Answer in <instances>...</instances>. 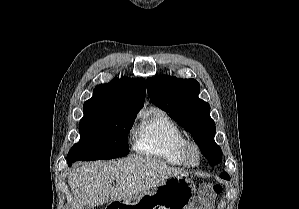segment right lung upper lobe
<instances>
[{
	"label": "right lung upper lobe",
	"mask_w": 299,
	"mask_h": 209,
	"mask_svg": "<svg viewBox=\"0 0 299 209\" xmlns=\"http://www.w3.org/2000/svg\"><path fill=\"white\" fill-rule=\"evenodd\" d=\"M145 94L144 78H115L96 86L93 97L83 107L84 111L138 113L144 105Z\"/></svg>",
	"instance_id": "cb5924a9"
}]
</instances>
